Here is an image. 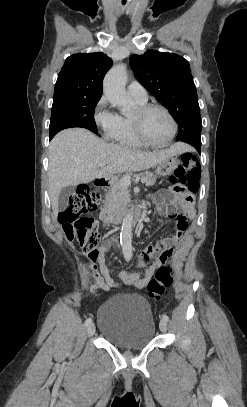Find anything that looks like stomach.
<instances>
[{"label":"stomach","mask_w":247,"mask_h":407,"mask_svg":"<svg viewBox=\"0 0 247 407\" xmlns=\"http://www.w3.org/2000/svg\"><path fill=\"white\" fill-rule=\"evenodd\" d=\"M179 159L177 156L169 157L157 165L156 174L159 176L171 175L179 166ZM114 180H111L113 183Z\"/></svg>","instance_id":"0dacf381"}]
</instances>
